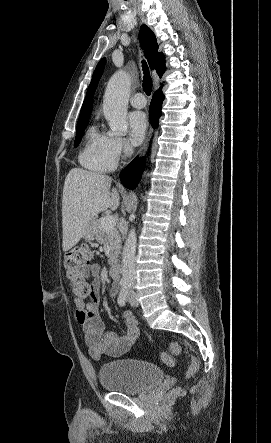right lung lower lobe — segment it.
I'll return each mask as SVG.
<instances>
[{"label": "right lung lower lobe", "mask_w": 271, "mask_h": 443, "mask_svg": "<svg viewBox=\"0 0 271 443\" xmlns=\"http://www.w3.org/2000/svg\"><path fill=\"white\" fill-rule=\"evenodd\" d=\"M164 99L163 94L160 90L156 91L153 95L150 104V122L152 126L156 127L158 125L159 117L161 116L162 101ZM144 161H138L135 158L132 163H130L120 175L121 181L125 187L134 189L138 182L140 181L142 172L144 170Z\"/></svg>", "instance_id": "1"}]
</instances>
